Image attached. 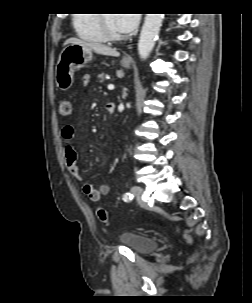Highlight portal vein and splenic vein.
Instances as JSON below:
<instances>
[{
	"label": "portal vein and splenic vein",
	"instance_id": "18ae733b",
	"mask_svg": "<svg viewBox=\"0 0 252 303\" xmlns=\"http://www.w3.org/2000/svg\"><path fill=\"white\" fill-rule=\"evenodd\" d=\"M107 88H108V90H113V89H114V85H113V84H109V85L107 86Z\"/></svg>",
	"mask_w": 252,
	"mask_h": 303
}]
</instances>
